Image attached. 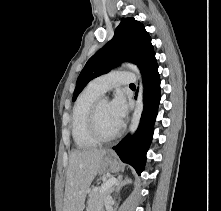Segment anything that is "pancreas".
Wrapping results in <instances>:
<instances>
[{
  "instance_id": "1",
  "label": "pancreas",
  "mask_w": 221,
  "mask_h": 211,
  "mask_svg": "<svg viewBox=\"0 0 221 211\" xmlns=\"http://www.w3.org/2000/svg\"><path fill=\"white\" fill-rule=\"evenodd\" d=\"M100 189L101 188L96 187L91 191L87 211H103L106 197L114 190L113 186L109 187L105 192H100Z\"/></svg>"
}]
</instances>
